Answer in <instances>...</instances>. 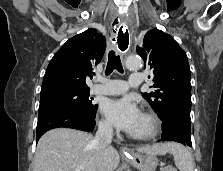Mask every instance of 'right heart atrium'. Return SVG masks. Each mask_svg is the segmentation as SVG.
<instances>
[{
  "label": "right heart atrium",
  "instance_id": "1",
  "mask_svg": "<svg viewBox=\"0 0 223 171\" xmlns=\"http://www.w3.org/2000/svg\"><path fill=\"white\" fill-rule=\"evenodd\" d=\"M99 127L102 131H105V132H110L112 130L111 124L105 119H102L99 122Z\"/></svg>",
  "mask_w": 223,
  "mask_h": 171
}]
</instances>
